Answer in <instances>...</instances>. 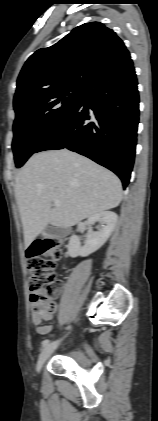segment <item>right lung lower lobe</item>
I'll use <instances>...</instances> for the list:
<instances>
[{
	"label": "right lung lower lobe",
	"instance_id": "right-lung-lower-lobe-1",
	"mask_svg": "<svg viewBox=\"0 0 158 421\" xmlns=\"http://www.w3.org/2000/svg\"><path fill=\"white\" fill-rule=\"evenodd\" d=\"M138 120L137 78L126 52L90 79L78 103L35 153L67 148L113 171L125 188L134 163Z\"/></svg>",
	"mask_w": 158,
	"mask_h": 421
}]
</instances>
